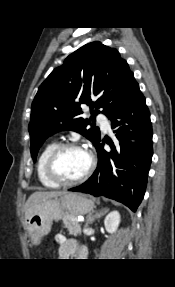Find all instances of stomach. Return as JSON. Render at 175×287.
Returning a JSON list of instances; mask_svg holds the SVG:
<instances>
[{
	"mask_svg": "<svg viewBox=\"0 0 175 287\" xmlns=\"http://www.w3.org/2000/svg\"><path fill=\"white\" fill-rule=\"evenodd\" d=\"M94 207L90 198L79 193L66 192L46 199L36 204L25 216L28 236L33 244H40L41 239L51 231L53 221H59L66 213L73 216L87 214Z\"/></svg>",
	"mask_w": 175,
	"mask_h": 287,
	"instance_id": "0dacf381",
	"label": "stomach"
}]
</instances>
